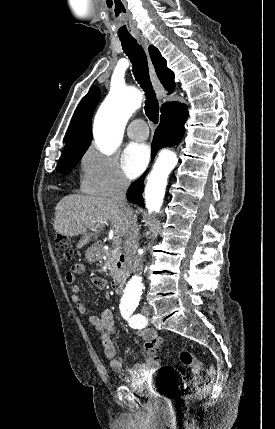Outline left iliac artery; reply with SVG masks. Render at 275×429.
<instances>
[{"label":"left iliac artery","instance_id":"left-iliac-artery-1","mask_svg":"<svg viewBox=\"0 0 275 429\" xmlns=\"http://www.w3.org/2000/svg\"><path fill=\"white\" fill-rule=\"evenodd\" d=\"M135 309H136L135 306L121 307V314H122L123 318L128 321L129 325L132 328L142 329L143 327H145L147 325V320L141 314H135V315L131 316L133 314V312L135 311Z\"/></svg>","mask_w":275,"mask_h":429}]
</instances>
